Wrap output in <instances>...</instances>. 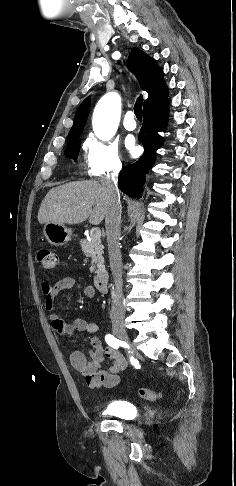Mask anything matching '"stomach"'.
<instances>
[{
    "label": "stomach",
    "mask_w": 236,
    "mask_h": 486,
    "mask_svg": "<svg viewBox=\"0 0 236 486\" xmlns=\"http://www.w3.org/2000/svg\"><path fill=\"white\" fill-rule=\"evenodd\" d=\"M44 235L50 244L62 246L71 240L72 231L64 224L48 222L44 226Z\"/></svg>",
    "instance_id": "1"
}]
</instances>
